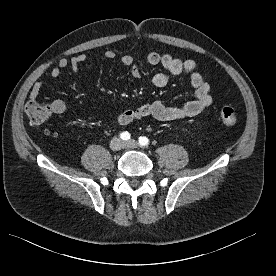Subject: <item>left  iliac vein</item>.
I'll list each match as a JSON object with an SVG mask.
<instances>
[{
    "instance_id": "left-iliac-vein-1",
    "label": "left iliac vein",
    "mask_w": 276,
    "mask_h": 276,
    "mask_svg": "<svg viewBox=\"0 0 276 276\" xmlns=\"http://www.w3.org/2000/svg\"><path fill=\"white\" fill-rule=\"evenodd\" d=\"M138 145H139L138 142L133 139L123 143L124 148H137Z\"/></svg>"
}]
</instances>
